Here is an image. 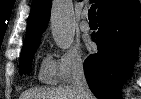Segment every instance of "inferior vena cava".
<instances>
[{
  "label": "inferior vena cava",
  "mask_w": 141,
  "mask_h": 99,
  "mask_svg": "<svg viewBox=\"0 0 141 99\" xmlns=\"http://www.w3.org/2000/svg\"><path fill=\"white\" fill-rule=\"evenodd\" d=\"M72 87L78 92L80 99H94L87 84L84 68L81 63H77L73 66Z\"/></svg>",
  "instance_id": "obj_1"
}]
</instances>
